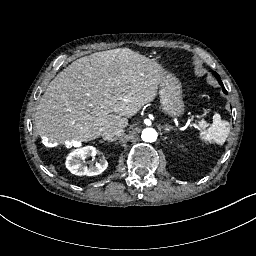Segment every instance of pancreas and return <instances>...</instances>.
Instances as JSON below:
<instances>
[{
  "instance_id": "pancreas-1",
  "label": "pancreas",
  "mask_w": 256,
  "mask_h": 256,
  "mask_svg": "<svg viewBox=\"0 0 256 256\" xmlns=\"http://www.w3.org/2000/svg\"><path fill=\"white\" fill-rule=\"evenodd\" d=\"M202 125H203V126H206V122H202Z\"/></svg>"
}]
</instances>
